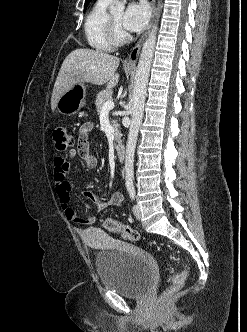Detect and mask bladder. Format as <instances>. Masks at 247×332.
I'll return each instance as SVG.
<instances>
[{"instance_id": "31cf9c89", "label": "bladder", "mask_w": 247, "mask_h": 332, "mask_svg": "<svg viewBox=\"0 0 247 332\" xmlns=\"http://www.w3.org/2000/svg\"><path fill=\"white\" fill-rule=\"evenodd\" d=\"M85 241L89 242L88 238ZM95 267L104 288L132 299L144 297L155 278L152 255L123 243L98 252Z\"/></svg>"}]
</instances>
